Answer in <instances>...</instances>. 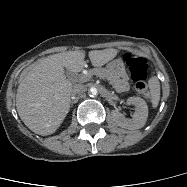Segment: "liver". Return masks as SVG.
I'll return each mask as SVG.
<instances>
[{
    "instance_id": "6515ba94",
    "label": "liver",
    "mask_w": 187,
    "mask_h": 187,
    "mask_svg": "<svg viewBox=\"0 0 187 187\" xmlns=\"http://www.w3.org/2000/svg\"><path fill=\"white\" fill-rule=\"evenodd\" d=\"M117 49L89 51L94 67H101L114 59ZM85 52L68 51L39 59L25 73L16 94V109L23 123L39 135L53 134L70 108L73 84L66 79L65 69L71 73L82 71Z\"/></svg>"
}]
</instances>
